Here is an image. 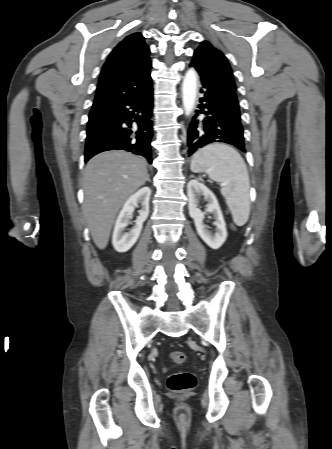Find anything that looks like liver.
<instances>
[{
    "label": "liver",
    "instance_id": "obj_1",
    "mask_svg": "<svg viewBox=\"0 0 332 449\" xmlns=\"http://www.w3.org/2000/svg\"><path fill=\"white\" fill-rule=\"evenodd\" d=\"M146 161L125 151L94 156L83 176V214L92 239L104 249L123 203L147 181Z\"/></svg>",
    "mask_w": 332,
    "mask_h": 449
}]
</instances>
